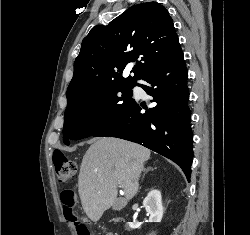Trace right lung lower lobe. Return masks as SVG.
Segmentation results:
<instances>
[{
  "label": "right lung lower lobe",
  "mask_w": 250,
  "mask_h": 235,
  "mask_svg": "<svg viewBox=\"0 0 250 235\" xmlns=\"http://www.w3.org/2000/svg\"><path fill=\"white\" fill-rule=\"evenodd\" d=\"M188 72L179 40L169 56L149 71L139 84L157 105L131 103L93 136L117 137L139 143L177 163L190 180L193 134L188 107Z\"/></svg>",
  "instance_id": "obj_1"
}]
</instances>
